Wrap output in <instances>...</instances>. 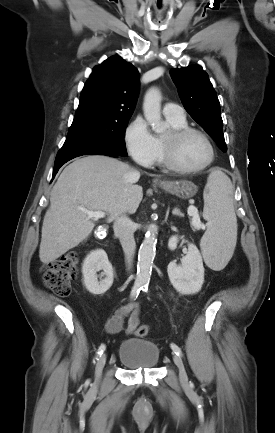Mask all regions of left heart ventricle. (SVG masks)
Here are the masks:
<instances>
[{"instance_id": "obj_1", "label": "left heart ventricle", "mask_w": 275, "mask_h": 433, "mask_svg": "<svg viewBox=\"0 0 275 433\" xmlns=\"http://www.w3.org/2000/svg\"><path fill=\"white\" fill-rule=\"evenodd\" d=\"M165 135V137H167ZM177 162L187 168L204 164L210 156V149L205 139L199 134H191L179 142L175 150Z\"/></svg>"}]
</instances>
